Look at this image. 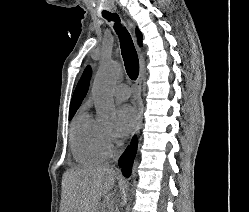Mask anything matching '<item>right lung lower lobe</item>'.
Returning a JSON list of instances; mask_svg holds the SVG:
<instances>
[{"label":"right lung lower lobe","mask_w":249,"mask_h":212,"mask_svg":"<svg viewBox=\"0 0 249 212\" xmlns=\"http://www.w3.org/2000/svg\"><path fill=\"white\" fill-rule=\"evenodd\" d=\"M137 150V142L134 137L131 141V145L128 146L119 159V166L122 168V173L125 177H129L131 174L132 164L135 158Z\"/></svg>","instance_id":"right-lung-lower-lobe-1"}]
</instances>
